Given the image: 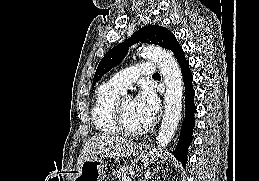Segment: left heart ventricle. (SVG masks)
Here are the masks:
<instances>
[{"instance_id":"b2bd125f","label":"left heart ventricle","mask_w":259,"mask_h":181,"mask_svg":"<svg viewBox=\"0 0 259 181\" xmlns=\"http://www.w3.org/2000/svg\"><path fill=\"white\" fill-rule=\"evenodd\" d=\"M123 108L126 120L129 125L133 127H141L148 124L150 121L146 120L137 110L135 99L132 97L126 98L123 102Z\"/></svg>"}]
</instances>
